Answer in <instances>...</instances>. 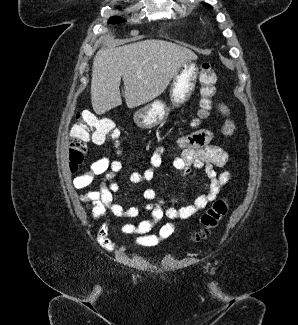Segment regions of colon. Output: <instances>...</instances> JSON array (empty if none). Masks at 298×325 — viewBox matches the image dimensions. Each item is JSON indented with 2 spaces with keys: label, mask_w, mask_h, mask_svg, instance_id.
<instances>
[{
  "label": "colon",
  "mask_w": 298,
  "mask_h": 325,
  "mask_svg": "<svg viewBox=\"0 0 298 325\" xmlns=\"http://www.w3.org/2000/svg\"><path fill=\"white\" fill-rule=\"evenodd\" d=\"M216 73L213 64L205 62L199 71V83L201 92L200 118L208 116L212 108V97L215 93ZM118 129L109 118L95 115L91 112H80L70 130L69 167L76 171L83 163L88 151L89 144H103L110 139H116ZM228 202L225 199L216 200L212 206L201 216L203 229L198 231L195 241L207 237L216 228L222 218L228 212Z\"/></svg>",
  "instance_id": "colon-1"
}]
</instances>
